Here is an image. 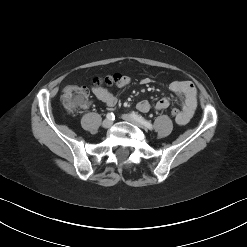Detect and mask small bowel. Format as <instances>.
<instances>
[{
	"label": "small bowel",
	"instance_id": "c3829d8e",
	"mask_svg": "<svg viewBox=\"0 0 247 247\" xmlns=\"http://www.w3.org/2000/svg\"><path fill=\"white\" fill-rule=\"evenodd\" d=\"M151 82L152 80L148 77L141 80V84L143 85L150 84ZM129 84L130 78L125 76L122 77L119 86L125 87ZM168 88L181 99L182 109L180 110L181 113L176 119V122L178 125H185L190 121L197 107V90L192 82L183 80L172 81ZM92 92L99 101L108 107H114L117 103L116 97L102 87L93 86ZM169 105V100L162 97L155 103V109L165 110L169 107ZM136 108L139 111L146 113L151 109V104L147 100H140L137 103Z\"/></svg>",
	"mask_w": 247,
	"mask_h": 247
}]
</instances>
